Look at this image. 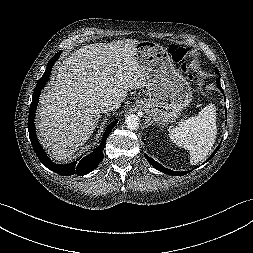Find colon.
I'll return each mask as SVG.
<instances>
[{
  "label": "colon",
  "mask_w": 253,
  "mask_h": 253,
  "mask_svg": "<svg viewBox=\"0 0 253 253\" xmlns=\"http://www.w3.org/2000/svg\"><path fill=\"white\" fill-rule=\"evenodd\" d=\"M169 54L175 61L185 63L189 56V49L177 44H172L169 47Z\"/></svg>",
  "instance_id": "obj_1"
}]
</instances>
